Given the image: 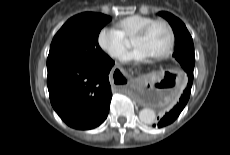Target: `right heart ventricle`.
Wrapping results in <instances>:
<instances>
[{"label": "right heart ventricle", "mask_w": 230, "mask_h": 155, "mask_svg": "<svg viewBox=\"0 0 230 155\" xmlns=\"http://www.w3.org/2000/svg\"><path fill=\"white\" fill-rule=\"evenodd\" d=\"M152 20H154V18L149 16L132 15L119 20L116 26L125 38H132L142 27Z\"/></svg>", "instance_id": "1"}]
</instances>
